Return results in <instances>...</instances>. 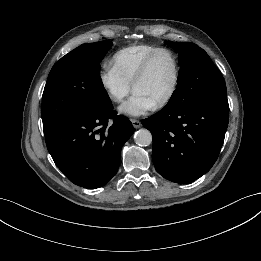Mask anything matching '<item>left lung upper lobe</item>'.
<instances>
[{
    "instance_id": "5c2ea615",
    "label": "left lung upper lobe",
    "mask_w": 261,
    "mask_h": 261,
    "mask_svg": "<svg viewBox=\"0 0 261 261\" xmlns=\"http://www.w3.org/2000/svg\"><path fill=\"white\" fill-rule=\"evenodd\" d=\"M179 52L178 88L165 107L184 109L193 103L226 94L225 81L207 53L193 43L166 42Z\"/></svg>"
}]
</instances>
